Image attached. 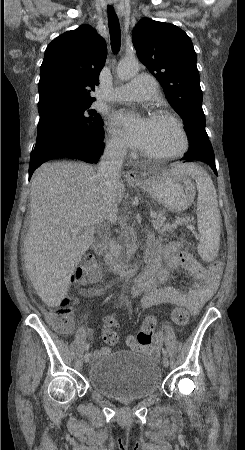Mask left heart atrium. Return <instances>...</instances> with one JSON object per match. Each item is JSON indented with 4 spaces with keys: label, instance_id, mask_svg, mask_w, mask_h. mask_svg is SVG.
I'll use <instances>...</instances> for the list:
<instances>
[{
    "label": "left heart atrium",
    "instance_id": "39dd6f15",
    "mask_svg": "<svg viewBox=\"0 0 245 450\" xmlns=\"http://www.w3.org/2000/svg\"><path fill=\"white\" fill-rule=\"evenodd\" d=\"M111 127L123 137L130 147L142 148L147 140L150 120L123 109L114 114Z\"/></svg>",
    "mask_w": 245,
    "mask_h": 450
}]
</instances>
